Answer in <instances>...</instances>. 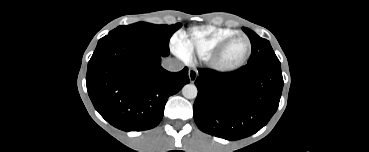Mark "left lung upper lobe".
<instances>
[{
    "instance_id": "obj_1",
    "label": "left lung upper lobe",
    "mask_w": 369,
    "mask_h": 152,
    "mask_svg": "<svg viewBox=\"0 0 369 152\" xmlns=\"http://www.w3.org/2000/svg\"><path fill=\"white\" fill-rule=\"evenodd\" d=\"M251 41L252 53L248 66L258 64H280L268 40L259 37L248 28H242Z\"/></svg>"
}]
</instances>
